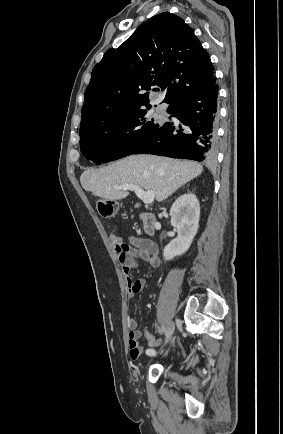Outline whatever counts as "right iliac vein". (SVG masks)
Here are the masks:
<instances>
[{"instance_id": "right-iliac-vein-1", "label": "right iliac vein", "mask_w": 283, "mask_h": 434, "mask_svg": "<svg viewBox=\"0 0 283 434\" xmlns=\"http://www.w3.org/2000/svg\"><path fill=\"white\" fill-rule=\"evenodd\" d=\"M175 330V325L172 321L168 322L167 325V332H166V338H165V345L169 342V340L172 338V335L174 333ZM163 349L161 348L158 353H162Z\"/></svg>"}]
</instances>
